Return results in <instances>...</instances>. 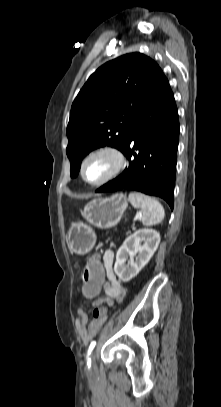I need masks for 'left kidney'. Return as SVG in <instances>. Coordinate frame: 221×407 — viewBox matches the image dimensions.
<instances>
[{
    "label": "left kidney",
    "mask_w": 221,
    "mask_h": 407,
    "mask_svg": "<svg viewBox=\"0 0 221 407\" xmlns=\"http://www.w3.org/2000/svg\"><path fill=\"white\" fill-rule=\"evenodd\" d=\"M159 243L160 234L153 229H140L128 236L116 254L114 271L118 278L123 282L134 278L150 261Z\"/></svg>",
    "instance_id": "obj_1"
}]
</instances>
